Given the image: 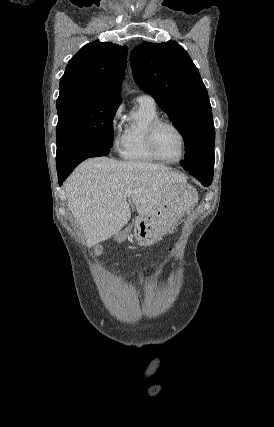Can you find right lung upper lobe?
I'll use <instances>...</instances> for the list:
<instances>
[{
	"label": "right lung upper lobe",
	"instance_id": "cb5924a9",
	"mask_svg": "<svg viewBox=\"0 0 274 427\" xmlns=\"http://www.w3.org/2000/svg\"><path fill=\"white\" fill-rule=\"evenodd\" d=\"M126 46L93 41L69 60L60 79L57 107L91 99H121L127 63Z\"/></svg>",
	"mask_w": 274,
	"mask_h": 427
}]
</instances>
